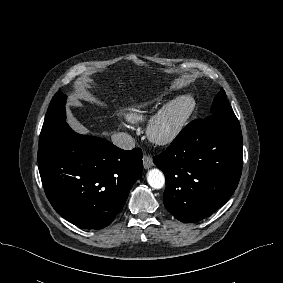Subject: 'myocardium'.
<instances>
[{
    "instance_id": "obj_1",
    "label": "myocardium",
    "mask_w": 283,
    "mask_h": 283,
    "mask_svg": "<svg viewBox=\"0 0 283 283\" xmlns=\"http://www.w3.org/2000/svg\"><path fill=\"white\" fill-rule=\"evenodd\" d=\"M194 109L195 101L190 96L169 101L148 122V139L157 145L170 144L185 128Z\"/></svg>"
}]
</instances>
